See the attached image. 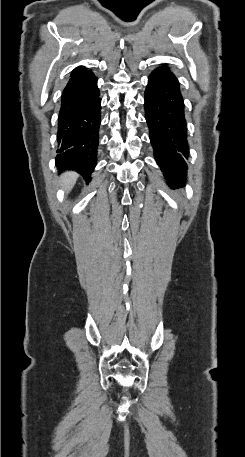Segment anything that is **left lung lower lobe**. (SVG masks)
I'll return each mask as SVG.
<instances>
[{
    "label": "left lung lower lobe",
    "mask_w": 245,
    "mask_h": 457,
    "mask_svg": "<svg viewBox=\"0 0 245 457\" xmlns=\"http://www.w3.org/2000/svg\"><path fill=\"white\" fill-rule=\"evenodd\" d=\"M144 108L156 162L171 187L182 186L189 158L187 122L179 81L167 66L149 76Z\"/></svg>",
    "instance_id": "left-lung-lower-lobe-1"
}]
</instances>
